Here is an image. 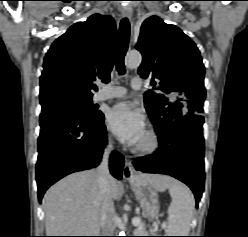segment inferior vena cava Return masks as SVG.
<instances>
[{
  "mask_svg": "<svg viewBox=\"0 0 248 237\" xmlns=\"http://www.w3.org/2000/svg\"><path fill=\"white\" fill-rule=\"evenodd\" d=\"M112 151V144L109 143L104 150L102 162L98 167L100 187V220L103 236H113L115 231L116 213L110 190L111 175L108 168V158Z\"/></svg>",
  "mask_w": 248,
  "mask_h": 237,
  "instance_id": "inferior-vena-cava-1",
  "label": "inferior vena cava"
}]
</instances>
